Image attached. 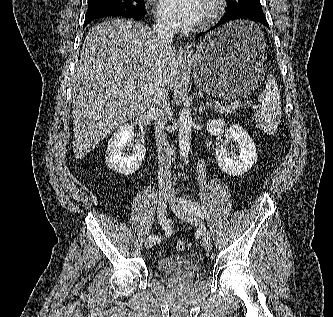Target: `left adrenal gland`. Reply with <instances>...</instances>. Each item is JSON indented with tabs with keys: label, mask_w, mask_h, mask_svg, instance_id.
Listing matches in <instances>:
<instances>
[{
	"label": "left adrenal gland",
	"mask_w": 333,
	"mask_h": 317,
	"mask_svg": "<svg viewBox=\"0 0 333 317\" xmlns=\"http://www.w3.org/2000/svg\"><path fill=\"white\" fill-rule=\"evenodd\" d=\"M204 110H209L208 108L205 107L204 103L201 101L200 106H199V112H202Z\"/></svg>",
	"instance_id": "left-adrenal-gland-1"
}]
</instances>
